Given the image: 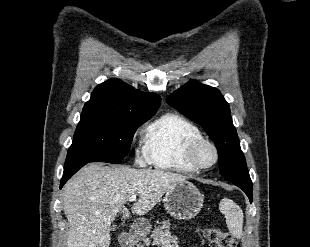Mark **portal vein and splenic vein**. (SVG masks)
<instances>
[{
    "label": "portal vein and splenic vein",
    "mask_w": 310,
    "mask_h": 247,
    "mask_svg": "<svg viewBox=\"0 0 310 247\" xmlns=\"http://www.w3.org/2000/svg\"><path fill=\"white\" fill-rule=\"evenodd\" d=\"M136 198H137V196H136V195H132V196H130V197H129V200L132 202V201H135V200H136Z\"/></svg>",
    "instance_id": "obj_1"
}]
</instances>
